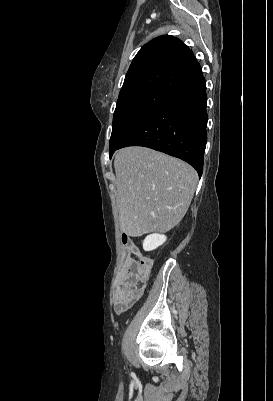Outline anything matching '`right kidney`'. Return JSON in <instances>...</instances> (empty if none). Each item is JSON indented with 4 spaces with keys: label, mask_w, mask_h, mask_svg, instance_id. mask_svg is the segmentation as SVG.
I'll list each match as a JSON object with an SVG mask.
<instances>
[{
    "label": "right kidney",
    "mask_w": 273,
    "mask_h": 401,
    "mask_svg": "<svg viewBox=\"0 0 273 401\" xmlns=\"http://www.w3.org/2000/svg\"><path fill=\"white\" fill-rule=\"evenodd\" d=\"M166 239L165 235H156V233L155 235H148L143 241V249L144 251H154V249L163 245Z\"/></svg>",
    "instance_id": "1"
}]
</instances>
